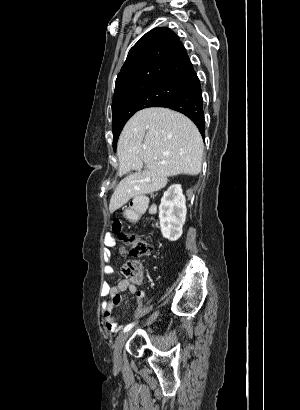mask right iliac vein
I'll return each mask as SVG.
<instances>
[{"label":"right iliac vein","mask_w":300,"mask_h":410,"mask_svg":"<svg viewBox=\"0 0 300 410\" xmlns=\"http://www.w3.org/2000/svg\"><path fill=\"white\" fill-rule=\"evenodd\" d=\"M158 316V312H155L154 314L151 315V317L148 319L147 324H151ZM129 333H124L120 334L114 344V361L119 362L121 360V353H122V348L124 346L125 341L128 338Z\"/></svg>","instance_id":"63e3f726"}]
</instances>
